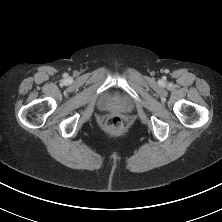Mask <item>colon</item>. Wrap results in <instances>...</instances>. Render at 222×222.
Wrapping results in <instances>:
<instances>
[{
    "label": "colon",
    "instance_id": "5ec220e1",
    "mask_svg": "<svg viewBox=\"0 0 222 222\" xmlns=\"http://www.w3.org/2000/svg\"><path fill=\"white\" fill-rule=\"evenodd\" d=\"M106 127L112 132H119L123 128V121L119 116H111L106 120Z\"/></svg>",
    "mask_w": 222,
    "mask_h": 222
}]
</instances>
